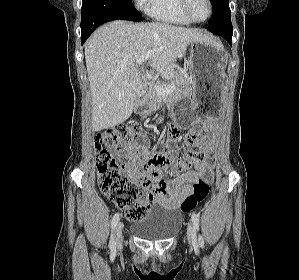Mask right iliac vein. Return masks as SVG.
I'll list each match as a JSON object with an SVG mask.
<instances>
[{"instance_id":"right-iliac-vein-1","label":"right iliac vein","mask_w":299,"mask_h":280,"mask_svg":"<svg viewBox=\"0 0 299 280\" xmlns=\"http://www.w3.org/2000/svg\"><path fill=\"white\" fill-rule=\"evenodd\" d=\"M122 231H123V223L119 222L116 226V231H115L116 248H120L122 246V241H123Z\"/></svg>"}]
</instances>
